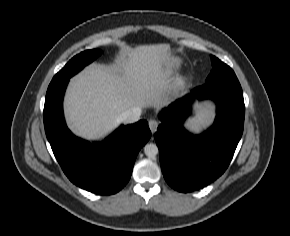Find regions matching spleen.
<instances>
[{
    "instance_id": "obj_1",
    "label": "spleen",
    "mask_w": 290,
    "mask_h": 236,
    "mask_svg": "<svg viewBox=\"0 0 290 236\" xmlns=\"http://www.w3.org/2000/svg\"><path fill=\"white\" fill-rule=\"evenodd\" d=\"M213 118V112L209 107L202 109L198 115L187 123L193 130H199L201 126L208 124Z\"/></svg>"
}]
</instances>
